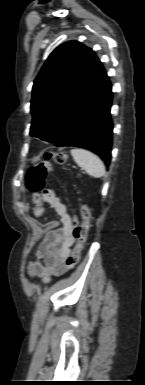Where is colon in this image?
<instances>
[{
	"label": "colon",
	"mask_w": 145,
	"mask_h": 385,
	"mask_svg": "<svg viewBox=\"0 0 145 385\" xmlns=\"http://www.w3.org/2000/svg\"><path fill=\"white\" fill-rule=\"evenodd\" d=\"M67 160L65 152H48L44 160L31 166L27 176V187L33 195V201H39L40 193L44 191L45 180L49 172L52 171V164H64ZM81 222L73 226L72 234L75 239V246L68 259V264L74 267L80 258V254L85 246L88 231L91 223V211L86 204L80 208Z\"/></svg>",
	"instance_id": "5ec220e1"
}]
</instances>
